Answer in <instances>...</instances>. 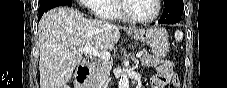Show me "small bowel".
<instances>
[{"instance_id": "c3829d8e", "label": "small bowel", "mask_w": 227, "mask_h": 88, "mask_svg": "<svg viewBox=\"0 0 227 88\" xmlns=\"http://www.w3.org/2000/svg\"><path fill=\"white\" fill-rule=\"evenodd\" d=\"M169 82H172L174 87L179 86V79L175 73L167 66H160L158 68V74L152 79V88H164Z\"/></svg>"}]
</instances>
